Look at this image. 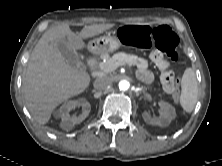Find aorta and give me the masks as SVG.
<instances>
[{"label":"aorta","mask_w":222,"mask_h":166,"mask_svg":"<svg viewBox=\"0 0 222 166\" xmlns=\"http://www.w3.org/2000/svg\"><path fill=\"white\" fill-rule=\"evenodd\" d=\"M129 87H130V83L127 80H121L119 82V89L121 91H126L129 89Z\"/></svg>","instance_id":"1"}]
</instances>
